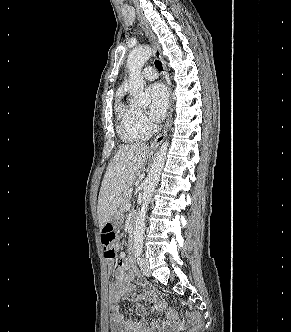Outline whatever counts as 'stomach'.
<instances>
[{
    "mask_svg": "<svg viewBox=\"0 0 291 332\" xmlns=\"http://www.w3.org/2000/svg\"><path fill=\"white\" fill-rule=\"evenodd\" d=\"M123 221L122 211L117 212V214L112 218L111 222L114 227H120Z\"/></svg>",
    "mask_w": 291,
    "mask_h": 332,
    "instance_id": "stomach-1",
    "label": "stomach"
}]
</instances>
